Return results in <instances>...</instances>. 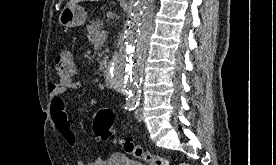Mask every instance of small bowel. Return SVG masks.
<instances>
[{
	"label": "small bowel",
	"mask_w": 276,
	"mask_h": 165,
	"mask_svg": "<svg viewBox=\"0 0 276 165\" xmlns=\"http://www.w3.org/2000/svg\"><path fill=\"white\" fill-rule=\"evenodd\" d=\"M81 88L82 83L73 79L51 82L48 85L51 117L58 132L64 138L66 143L74 150L78 149V143L69 123L63 95L69 90H78ZM113 161L114 158L97 157L89 162L79 161L78 165H111Z\"/></svg>",
	"instance_id": "small-bowel-1"
}]
</instances>
